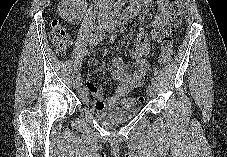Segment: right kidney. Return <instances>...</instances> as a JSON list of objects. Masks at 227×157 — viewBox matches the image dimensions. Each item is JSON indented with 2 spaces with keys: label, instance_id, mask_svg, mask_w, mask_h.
I'll return each mask as SVG.
<instances>
[{
  "label": "right kidney",
  "instance_id": "obj_1",
  "mask_svg": "<svg viewBox=\"0 0 227 157\" xmlns=\"http://www.w3.org/2000/svg\"><path fill=\"white\" fill-rule=\"evenodd\" d=\"M70 2L74 1L62 0L60 2V5L58 6V11L60 16L64 20H66L69 23H74L77 22L80 17L78 14H76V12L74 11V7L72 8V4H70Z\"/></svg>",
  "mask_w": 227,
  "mask_h": 157
}]
</instances>
